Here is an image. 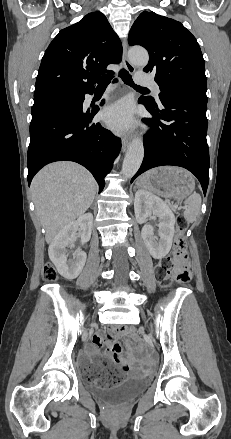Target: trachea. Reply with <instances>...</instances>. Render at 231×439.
<instances>
[{"instance_id": "1", "label": "trachea", "mask_w": 231, "mask_h": 439, "mask_svg": "<svg viewBox=\"0 0 231 439\" xmlns=\"http://www.w3.org/2000/svg\"><path fill=\"white\" fill-rule=\"evenodd\" d=\"M119 76L121 77L123 82L127 85H130V86H132L136 89H140V90H148L147 88L135 85L133 80H132L131 75L125 69L120 70ZM112 77H113L112 75H104V76L100 77L97 80L98 87H106L111 82Z\"/></svg>"}]
</instances>
